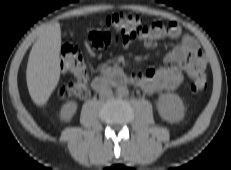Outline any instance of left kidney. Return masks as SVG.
I'll return each mask as SVG.
<instances>
[{
	"label": "left kidney",
	"instance_id": "5707ae66",
	"mask_svg": "<svg viewBox=\"0 0 231 170\" xmlns=\"http://www.w3.org/2000/svg\"><path fill=\"white\" fill-rule=\"evenodd\" d=\"M157 108L160 116L168 122H179L184 118L185 106L182 99L176 94L160 95Z\"/></svg>",
	"mask_w": 231,
	"mask_h": 170
}]
</instances>
